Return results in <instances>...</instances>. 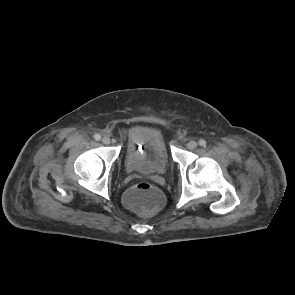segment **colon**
Instances as JSON below:
<instances>
[{
    "label": "colon",
    "instance_id": "5ec220e1",
    "mask_svg": "<svg viewBox=\"0 0 295 295\" xmlns=\"http://www.w3.org/2000/svg\"><path fill=\"white\" fill-rule=\"evenodd\" d=\"M124 200L130 208L151 214L161 206L163 198L156 187L148 183H139L126 192Z\"/></svg>",
    "mask_w": 295,
    "mask_h": 295
}]
</instances>
